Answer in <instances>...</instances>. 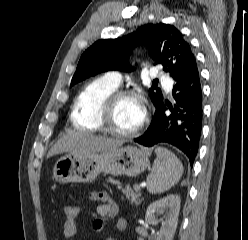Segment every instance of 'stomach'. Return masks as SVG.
I'll return each instance as SVG.
<instances>
[{"label": "stomach", "mask_w": 248, "mask_h": 240, "mask_svg": "<svg viewBox=\"0 0 248 240\" xmlns=\"http://www.w3.org/2000/svg\"><path fill=\"white\" fill-rule=\"evenodd\" d=\"M148 167L149 153L128 145L98 153L64 155L53 167V178L59 183H87L101 172L136 176Z\"/></svg>", "instance_id": "stomach-1"}]
</instances>
